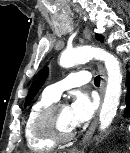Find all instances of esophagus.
Masks as SVG:
<instances>
[{
    "label": "esophagus",
    "instance_id": "1",
    "mask_svg": "<svg viewBox=\"0 0 130 153\" xmlns=\"http://www.w3.org/2000/svg\"><path fill=\"white\" fill-rule=\"evenodd\" d=\"M84 35L86 37V39L90 40L91 39V33L89 31V29L86 27L84 29ZM98 71L101 75V89H100V95H101V102L103 100V96H104V92H105V88H106V81H107V76H106V72L104 67L101 64H98ZM97 122H98V115L96 116V118L94 119V121L92 122L89 130L87 131V133L85 134L83 141H82V145L86 144L89 139L92 137L95 128L97 126ZM79 150L77 148H73L70 150V153H78Z\"/></svg>",
    "mask_w": 130,
    "mask_h": 153
}]
</instances>
